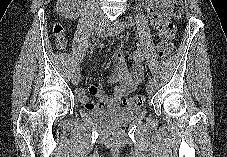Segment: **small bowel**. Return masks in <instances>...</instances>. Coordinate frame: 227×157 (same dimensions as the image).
Listing matches in <instances>:
<instances>
[{
    "label": "small bowel",
    "mask_w": 227,
    "mask_h": 157,
    "mask_svg": "<svg viewBox=\"0 0 227 157\" xmlns=\"http://www.w3.org/2000/svg\"><path fill=\"white\" fill-rule=\"evenodd\" d=\"M145 9L150 16L152 26L162 37L172 36L170 31V4L171 0H143ZM134 66L131 71L127 69L125 59L122 53H118L114 59L115 73L112 74L108 81L116 84L111 96H107L99 84L89 86V92L94 95L98 102H92L86 95L84 88L75 90L78 101L89 111L103 109L110 106L118 105L123 98L133 92L142 82L145 66L143 62V53L137 49L133 53Z\"/></svg>",
    "instance_id": "small-bowel-1"
}]
</instances>
